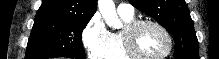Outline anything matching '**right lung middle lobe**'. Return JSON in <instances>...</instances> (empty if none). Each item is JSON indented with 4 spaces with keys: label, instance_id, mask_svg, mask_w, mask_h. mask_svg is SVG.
I'll list each match as a JSON object with an SVG mask.
<instances>
[{
    "label": "right lung middle lobe",
    "instance_id": "dd1d6c3e",
    "mask_svg": "<svg viewBox=\"0 0 219 59\" xmlns=\"http://www.w3.org/2000/svg\"><path fill=\"white\" fill-rule=\"evenodd\" d=\"M90 19L36 16L25 59H85L82 31Z\"/></svg>",
    "mask_w": 219,
    "mask_h": 59
}]
</instances>
